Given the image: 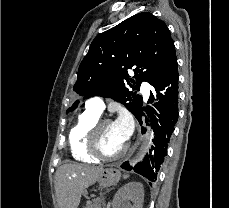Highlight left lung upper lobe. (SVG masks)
Instances as JSON below:
<instances>
[{
    "mask_svg": "<svg viewBox=\"0 0 229 208\" xmlns=\"http://www.w3.org/2000/svg\"><path fill=\"white\" fill-rule=\"evenodd\" d=\"M176 63L174 42L165 22L141 12L95 37L79 66L74 91L84 98H112L135 115L142 98L126 86L139 90L142 81L158 85ZM129 70L134 71V79ZM78 104L76 101L67 113Z\"/></svg>",
    "mask_w": 229,
    "mask_h": 208,
    "instance_id": "5c2ea615",
    "label": "left lung upper lobe"
}]
</instances>
